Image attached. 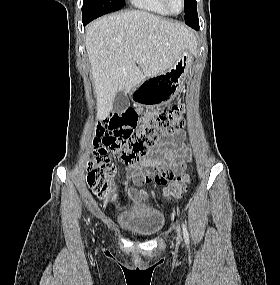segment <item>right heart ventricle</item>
I'll return each instance as SVG.
<instances>
[{
  "mask_svg": "<svg viewBox=\"0 0 280 285\" xmlns=\"http://www.w3.org/2000/svg\"><path fill=\"white\" fill-rule=\"evenodd\" d=\"M131 2L134 6L152 13L160 15L170 14L162 0H131Z\"/></svg>",
  "mask_w": 280,
  "mask_h": 285,
  "instance_id": "obj_1",
  "label": "right heart ventricle"
}]
</instances>
